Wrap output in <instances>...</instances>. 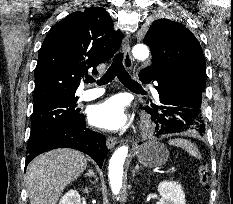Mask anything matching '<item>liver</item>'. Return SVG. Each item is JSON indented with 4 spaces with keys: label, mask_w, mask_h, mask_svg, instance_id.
<instances>
[{
    "label": "liver",
    "mask_w": 233,
    "mask_h": 204,
    "mask_svg": "<svg viewBox=\"0 0 233 204\" xmlns=\"http://www.w3.org/2000/svg\"><path fill=\"white\" fill-rule=\"evenodd\" d=\"M86 167V157L76 150L63 148L39 155L26 171L30 204H57L66 186Z\"/></svg>",
    "instance_id": "6515ba94"
}]
</instances>
